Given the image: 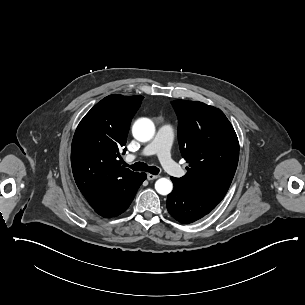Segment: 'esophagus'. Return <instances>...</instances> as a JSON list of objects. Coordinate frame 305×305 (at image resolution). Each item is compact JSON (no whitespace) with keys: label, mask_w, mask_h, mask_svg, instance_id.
Listing matches in <instances>:
<instances>
[{"label":"esophagus","mask_w":305,"mask_h":305,"mask_svg":"<svg viewBox=\"0 0 305 305\" xmlns=\"http://www.w3.org/2000/svg\"><path fill=\"white\" fill-rule=\"evenodd\" d=\"M159 177H160L159 175L147 174L148 180L158 179Z\"/></svg>","instance_id":"esophagus-1"}]
</instances>
